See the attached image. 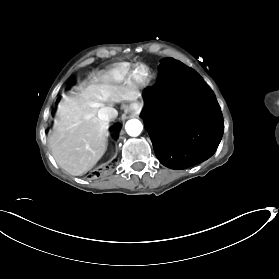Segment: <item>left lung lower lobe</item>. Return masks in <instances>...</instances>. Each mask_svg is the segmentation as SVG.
Listing matches in <instances>:
<instances>
[{"mask_svg":"<svg viewBox=\"0 0 279 279\" xmlns=\"http://www.w3.org/2000/svg\"><path fill=\"white\" fill-rule=\"evenodd\" d=\"M155 86L144 90V117L158 160L185 169L211 157L223 135L215 95L202 78L173 58L161 60Z\"/></svg>","mask_w":279,"mask_h":279,"instance_id":"obj_1","label":"left lung lower lobe"}]
</instances>
